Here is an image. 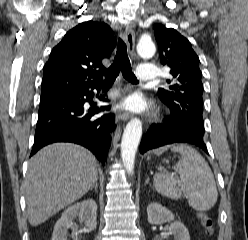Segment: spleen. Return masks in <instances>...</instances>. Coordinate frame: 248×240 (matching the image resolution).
<instances>
[{
    "label": "spleen",
    "instance_id": "1",
    "mask_svg": "<svg viewBox=\"0 0 248 240\" xmlns=\"http://www.w3.org/2000/svg\"><path fill=\"white\" fill-rule=\"evenodd\" d=\"M171 150L182 155L174 167L176 174H155L153 184L156 191L171 199L185 197L189 205L198 211L211 209L217 201L218 191L208 163L188 145L179 144Z\"/></svg>",
    "mask_w": 248,
    "mask_h": 240
}]
</instances>
